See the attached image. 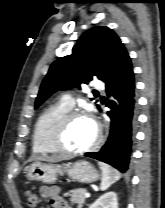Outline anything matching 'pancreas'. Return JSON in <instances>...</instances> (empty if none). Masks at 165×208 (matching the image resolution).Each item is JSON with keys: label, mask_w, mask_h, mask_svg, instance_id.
Segmentation results:
<instances>
[{"label": "pancreas", "mask_w": 165, "mask_h": 208, "mask_svg": "<svg viewBox=\"0 0 165 208\" xmlns=\"http://www.w3.org/2000/svg\"><path fill=\"white\" fill-rule=\"evenodd\" d=\"M87 192L84 188H78L74 190H70L68 193H65L64 196H70V201L72 203H77L78 208H82L85 203V193Z\"/></svg>", "instance_id": "pancreas-1"}]
</instances>
